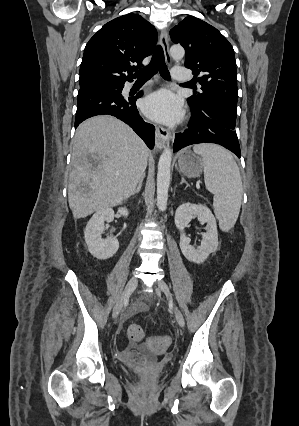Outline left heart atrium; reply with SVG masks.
Segmentation results:
<instances>
[{
	"label": "left heart atrium",
	"mask_w": 299,
	"mask_h": 426,
	"mask_svg": "<svg viewBox=\"0 0 299 426\" xmlns=\"http://www.w3.org/2000/svg\"><path fill=\"white\" fill-rule=\"evenodd\" d=\"M143 111L155 121L175 124L183 117V104L178 96L169 90L161 89L144 100Z\"/></svg>",
	"instance_id": "39dd6f15"
}]
</instances>
